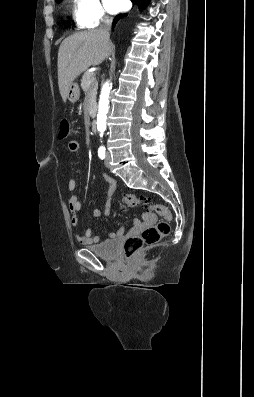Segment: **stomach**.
I'll return each mask as SVG.
<instances>
[{"instance_id": "obj_1", "label": "stomach", "mask_w": 254, "mask_h": 397, "mask_svg": "<svg viewBox=\"0 0 254 397\" xmlns=\"http://www.w3.org/2000/svg\"><path fill=\"white\" fill-rule=\"evenodd\" d=\"M79 97H80L79 85L76 82H72L68 88L67 99L71 103H75L79 100Z\"/></svg>"}]
</instances>
